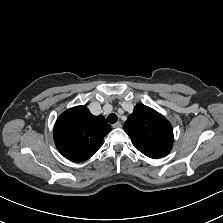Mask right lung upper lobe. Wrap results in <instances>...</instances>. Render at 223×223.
Segmentation results:
<instances>
[{"label":"right lung upper lobe","instance_id":"cb5924a9","mask_svg":"<svg viewBox=\"0 0 223 223\" xmlns=\"http://www.w3.org/2000/svg\"><path fill=\"white\" fill-rule=\"evenodd\" d=\"M110 130L103 116H94L86 106H77L58 117L53 136L59 152L78 162L90 158Z\"/></svg>","mask_w":223,"mask_h":223}]
</instances>
